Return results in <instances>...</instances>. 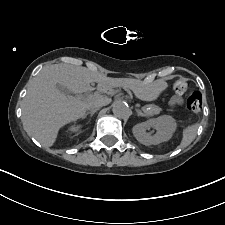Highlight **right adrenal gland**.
Instances as JSON below:
<instances>
[{
  "label": "right adrenal gland",
  "mask_w": 225,
  "mask_h": 225,
  "mask_svg": "<svg viewBox=\"0 0 225 225\" xmlns=\"http://www.w3.org/2000/svg\"><path fill=\"white\" fill-rule=\"evenodd\" d=\"M97 110H98V109L87 112V113L85 114V116L83 117V119H85V118L87 117V115H89V114H90V116L92 117V116L95 114V112H96Z\"/></svg>",
  "instance_id": "obj_1"
}]
</instances>
